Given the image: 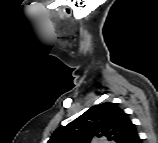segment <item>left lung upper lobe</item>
<instances>
[{
  "label": "left lung upper lobe",
  "mask_w": 158,
  "mask_h": 143,
  "mask_svg": "<svg viewBox=\"0 0 158 143\" xmlns=\"http://www.w3.org/2000/svg\"><path fill=\"white\" fill-rule=\"evenodd\" d=\"M102 136L115 143H134L138 134L135 125L117 104L105 102L56 129L48 143H90L93 138Z\"/></svg>",
  "instance_id": "5c2ea615"
}]
</instances>
